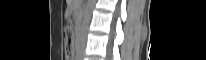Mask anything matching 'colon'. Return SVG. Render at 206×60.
Segmentation results:
<instances>
[{
	"label": "colon",
	"instance_id": "1",
	"mask_svg": "<svg viewBox=\"0 0 206 60\" xmlns=\"http://www.w3.org/2000/svg\"><path fill=\"white\" fill-rule=\"evenodd\" d=\"M65 37H66L67 45H68L67 53L71 57L72 54H73V45H72V42H73V30H72V28L70 26L66 27V29H65Z\"/></svg>",
	"mask_w": 206,
	"mask_h": 60
}]
</instances>
